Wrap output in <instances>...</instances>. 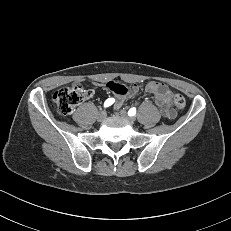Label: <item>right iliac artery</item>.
I'll use <instances>...</instances> for the list:
<instances>
[{
	"mask_svg": "<svg viewBox=\"0 0 231 231\" xmlns=\"http://www.w3.org/2000/svg\"><path fill=\"white\" fill-rule=\"evenodd\" d=\"M115 102V99L114 98H108L105 103H104V107L107 108L109 107L110 105H112L113 103Z\"/></svg>",
	"mask_w": 231,
	"mask_h": 231,
	"instance_id": "obj_1",
	"label": "right iliac artery"
}]
</instances>
